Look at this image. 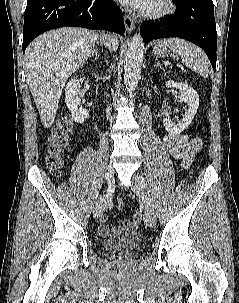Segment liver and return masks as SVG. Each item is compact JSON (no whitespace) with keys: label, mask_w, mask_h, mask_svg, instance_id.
I'll return each mask as SVG.
<instances>
[{"label":"liver","mask_w":239,"mask_h":303,"mask_svg":"<svg viewBox=\"0 0 239 303\" xmlns=\"http://www.w3.org/2000/svg\"><path fill=\"white\" fill-rule=\"evenodd\" d=\"M98 38L96 31L63 27L40 35L27 47L26 80L45 128L54 122L67 79L87 61ZM100 39L110 49L118 48L116 35Z\"/></svg>","instance_id":"liver-1"}]
</instances>
